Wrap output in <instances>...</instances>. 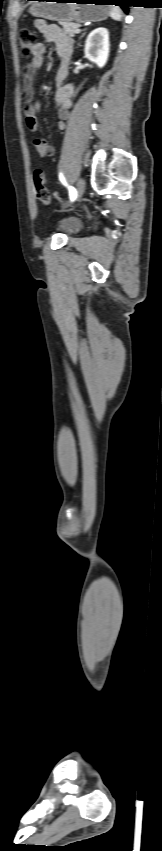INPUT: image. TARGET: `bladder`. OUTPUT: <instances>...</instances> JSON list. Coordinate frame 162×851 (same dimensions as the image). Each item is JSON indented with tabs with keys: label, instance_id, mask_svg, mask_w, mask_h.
<instances>
[{
	"label": "bladder",
	"instance_id": "obj_1",
	"mask_svg": "<svg viewBox=\"0 0 162 851\" xmlns=\"http://www.w3.org/2000/svg\"><path fill=\"white\" fill-rule=\"evenodd\" d=\"M58 229L65 235L71 236L81 229V222L75 217L64 218L59 221Z\"/></svg>",
	"mask_w": 162,
	"mask_h": 851
}]
</instances>
